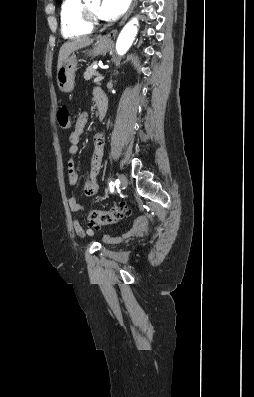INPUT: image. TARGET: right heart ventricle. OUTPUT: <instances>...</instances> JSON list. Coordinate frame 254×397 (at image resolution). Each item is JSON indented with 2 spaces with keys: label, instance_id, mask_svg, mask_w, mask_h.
Returning a JSON list of instances; mask_svg holds the SVG:
<instances>
[{
  "label": "right heart ventricle",
  "instance_id": "right-heart-ventricle-1",
  "mask_svg": "<svg viewBox=\"0 0 254 397\" xmlns=\"http://www.w3.org/2000/svg\"><path fill=\"white\" fill-rule=\"evenodd\" d=\"M82 0H63L60 7L61 33L65 38L73 39L92 31L83 14Z\"/></svg>",
  "mask_w": 254,
  "mask_h": 397
}]
</instances>
